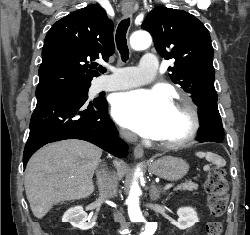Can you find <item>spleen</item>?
Masks as SVG:
<instances>
[{
  "mask_svg": "<svg viewBox=\"0 0 250 235\" xmlns=\"http://www.w3.org/2000/svg\"><path fill=\"white\" fill-rule=\"evenodd\" d=\"M196 155L200 158H206L208 161L213 162L218 167L225 166L226 162L220 156L213 154V153H204V152H197Z\"/></svg>",
  "mask_w": 250,
  "mask_h": 235,
  "instance_id": "1",
  "label": "spleen"
}]
</instances>
